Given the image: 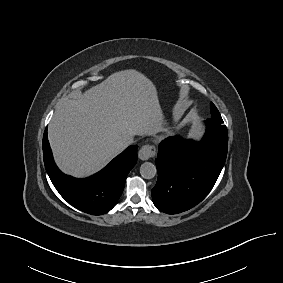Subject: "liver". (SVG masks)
Instances as JSON below:
<instances>
[{
    "label": "liver",
    "mask_w": 283,
    "mask_h": 283,
    "mask_svg": "<svg viewBox=\"0 0 283 283\" xmlns=\"http://www.w3.org/2000/svg\"><path fill=\"white\" fill-rule=\"evenodd\" d=\"M163 114L154 84L136 70L110 75L55 111L48 137L59 168L84 177L103 168L124 147L122 136L153 135Z\"/></svg>",
    "instance_id": "obj_1"
}]
</instances>
